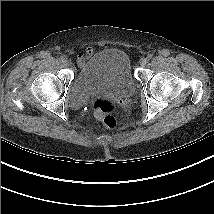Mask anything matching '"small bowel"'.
I'll list each match as a JSON object with an SVG mask.
<instances>
[{"mask_svg":"<svg viewBox=\"0 0 214 214\" xmlns=\"http://www.w3.org/2000/svg\"><path fill=\"white\" fill-rule=\"evenodd\" d=\"M95 55V49L93 47H87L84 51L79 52L77 56V63L81 67L88 59H91Z\"/></svg>","mask_w":214,"mask_h":214,"instance_id":"1","label":"small bowel"}]
</instances>
